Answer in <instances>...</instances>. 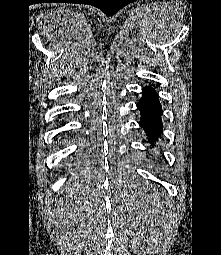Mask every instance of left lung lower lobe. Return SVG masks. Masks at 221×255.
I'll list each match as a JSON object with an SVG mask.
<instances>
[{
  "instance_id": "obj_1",
  "label": "left lung lower lobe",
  "mask_w": 221,
  "mask_h": 255,
  "mask_svg": "<svg viewBox=\"0 0 221 255\" xmlns=\"http://www.w3.org/2000/svg\"><path fill=\"white\" fill-rule=\"evenodd\" d=\"M142 93L143 97L137 105L141 113L140 126L149 136L150 142L154 143L160 136L163 127L161 122L162 107L158 95L152 87L143 88Z\"/></svg>"
}]
</instances>
